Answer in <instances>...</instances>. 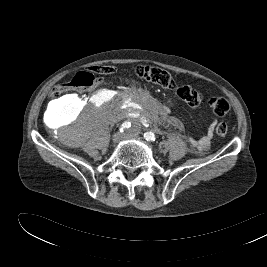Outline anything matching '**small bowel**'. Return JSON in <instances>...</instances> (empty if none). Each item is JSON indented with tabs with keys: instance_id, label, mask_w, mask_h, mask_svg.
Returning <instances> with one entry per match:
<instances>
[{
	"instance_id": "small-bowel-1",
	"label": "small bowel",
	"mask_w": 267,
	"mask_h": 267,
	"mask_svg": "<svg viewBox=\"0 0 267 267\" xmlns=\"http://www.w3.org/2000/svg\"><path fill=\"white\" fill-rule=\"evenodd\" d=\"M214 131V124H210L207 130V133L197 140H192L191 144L198 150V151H205L208 149Z\"/></svg>"
}]
</instances>
